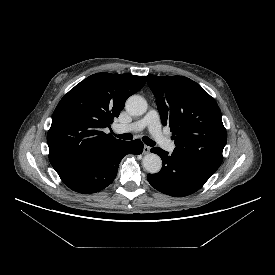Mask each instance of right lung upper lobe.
<instances>
[{
    "instance_id": "cb5924a9",
    "label": "right lung upper lobe",
    "mask_w": 275,
    "mask_h": 275,
    "mask_svg": "<svg viewBox=\"0 0 275 275\" xmlns=\"http://www.w3.org/2000/svg\"><path fill=\"white\" fill-rule=\"evenodd\" d=\"M146 77L97 73L72 88L57 105L47 134L49 160L58 171L124 143L103 129L118 117L128 97Z\"/></svg>"
}]
</instances>
